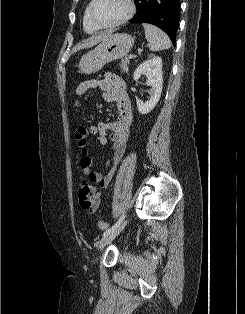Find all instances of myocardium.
I'll use <instances>...</instances> for the list:
<instances>
[{
    "mask_svg": "<svg viewBox=\"0 0 245 314\" xmlns=\"http://www.w3.org/2000/svg\"><path fill=\"white\" fill-rule=\"evenodd\" d=\"M97 0H91L90 5H89V18L92 21V23L98 28V29H108V28H114L117 27L119 25L124 24L125 22H127L128 20H130L134 13H135V4L133 0H125L126 5H127V11L126 13L120 17L118 20L112 22V23H100L95 15H94V6Z\"/></svg>",
    "mask_w": 245,
    "mask_h": 314,
    "instance_id": "f54148a6",
    "label": "myocardium"
}]
</instances>
